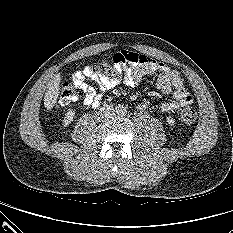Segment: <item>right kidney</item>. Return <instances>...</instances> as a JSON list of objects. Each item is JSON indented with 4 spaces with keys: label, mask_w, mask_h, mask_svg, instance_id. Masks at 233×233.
Returning <instances> with one entry per match:
<instances>
[{
    "label": "right kidney",
    "mask_w": 233,
    "mask_h": 233,
    "mask_svg": "<svg viewBox=\"0 0 233 233\" xmlns=\"http://www.w3.org/2000/svg\"><path fill=\"white\" fill-rule=\"evenodd\" d=\"M74 117H75V111H73L72 109H69L67 111V113L65 114V118L63 120V125L64 126L69 125L73 121Z\"/></svg>",
    "instance_id": "obj_1"
}]
</instances>
